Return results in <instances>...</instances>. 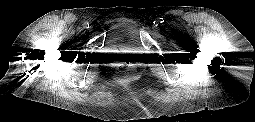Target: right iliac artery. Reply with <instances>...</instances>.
I'll use <instances>...</instances> for the list:
<instances>
[{"mask_svg": "<svg viewBox=\"0 0 255 122\" xmlns=\"http://www.w3.org/2000/svg\"><path fill=\"white\" fill-rule=\"evenodd\" d=\"M83 27L86 28V29H88V28H89V23H88V22H85V23L83 24Z\"/></svg>", "mask_w": 255, "mask_h": 122, "instance_id": "1", "label": "right iliac artery"}]
</instances>
